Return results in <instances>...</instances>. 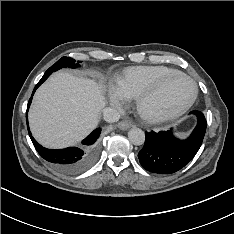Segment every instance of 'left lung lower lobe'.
<instances>
[{"label":"left lung lower lobe","instance_id":"1","mask_svg":"<svg viewBox=\"0 0 234 234\" xmlns=\"http://www.w3.org/2000/svg\"><path fill=\"white\" fill-rule=\"evenodd\" d=\"M197 125L185 140L177 139L171 130L145 133L144 147L138 153L140 164L152 173L171 174L187 165L198 152L206 131L207 122L200 111H192Z\"/></svg>","mask_w":234,"mask_h":234}]
</instances>
